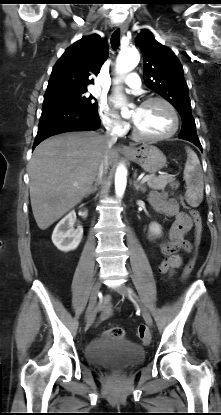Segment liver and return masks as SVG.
<instances>
[{
	"instance_id": "obj_1",
	"label": "liver",
	"mask_w": 221,
	"mask_h": 415,
	"mask_svg": "<svg viewBox=\"0 0 221 415\" xmlns=\"http://www.w3.org/2000/svg\"><path fill=\"white\" fill-rule=\"evenodd\" d=\"M105 155L112 165L118 151L110 148L105 154L104 136L95 131L56 135L36 147L29 162L30 200L41 230L89 195Z\"/></svg>"
}]
</instances>
